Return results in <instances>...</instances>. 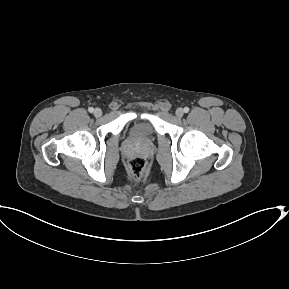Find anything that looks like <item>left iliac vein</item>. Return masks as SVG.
I'll list each match as a JSON object with an SVG mask.
<instances>
[{
  "label": "left iliac vein",
  "instance_id": "4c4485c4",
  "mask_svg": "<svg viewBox=\"0 0 289 289\" xmlns=\"http://www.w3.org/2000/svg\"><path fill=\"white\" fill-rule=\"evenodd\" d=\"M175 114L178 118H181L184 115V110L182 108H178Z\"/></svg>",
  "mask_w": 289,
  "mask_h": 289
}]
</instances>
